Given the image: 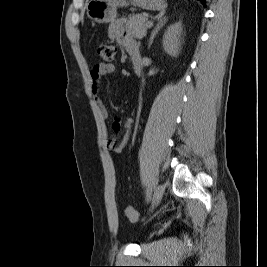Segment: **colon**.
Returning <instances> with one entry per match:
<instances>
[{"label": "colon", "mask_w": 267, "mask_h": 267, "mask_svg": "<svg viewBox=\"0 0 267 267\" xmlns=\"http://www.w3.org/2000/svg\"><path fill=\"white\" fill-rule=\"evenodd\" d=\"M96 52L100 58H102L104 61L109 62L113 60L115 56V47L109 44H98L96 47ZM127 218L131 222H136L138 219V213L137 211L129 206L125 210Z\"/></svg>", "instance_id": "colon-1"}]
</instances>
